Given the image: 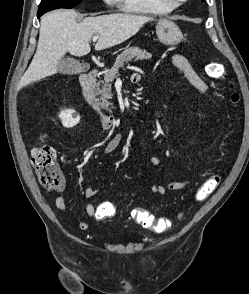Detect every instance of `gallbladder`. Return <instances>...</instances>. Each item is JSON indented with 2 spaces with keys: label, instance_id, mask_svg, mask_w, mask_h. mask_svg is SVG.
I'll use <instances>...</instances> for the list:
<instances>
[{
  "label": "gallbladder",
  "instance_id": "1",
  "mask_svg": "<svg viewBox=\"0 0 249 294\" xmlns=\"http://www.w3.org/2000/svg\"><path fill=\"white\" fill-rule=\"evenodd\" d=\"M83 67L73 58H65L59 62L58 71L62 74L76 75L82 72Z\"/></svg>",
  "mask_w": 249,
  "mask_h": 294
}]
</instances>
